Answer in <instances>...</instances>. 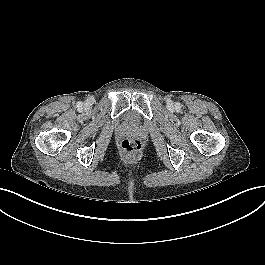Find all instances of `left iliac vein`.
<instances>
[{
  "label": "left iliac vein",
  "mask_w": 265,
  "mask_h": 265,
  "mask_svg": "<svg viewBox=\"0 0 265 265\" xmlns=\"http://www.w3.org/2000/svg\"><path fill=\"white\" fill-rule=\"evenodd\" d=\"M168 105H169V107L173 106V104H172V102L170 100H168Z\"/></svg>",
  "instance_id": "obj_1"
}]
</instances>
